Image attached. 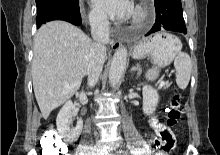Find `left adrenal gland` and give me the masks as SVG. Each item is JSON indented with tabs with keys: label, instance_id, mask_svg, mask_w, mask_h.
<instances>
[{
	"label": "left adrenal gland",
	"instance_id": "a2214340",
	"mask_svg": "<svg viewBox=\"0 0 220 155\" xmlns=\"http://www.w3.org/2000/svg\"><path fill=\"white\" fill-rule=\"evenodd\" d=\"M131 71H137V75H139L141 73V68L140 66L137 64L136 66L131 68Z\"/></svg>",
	"mask_w": 220,
	"mask_h": 155
}]
</instances>
